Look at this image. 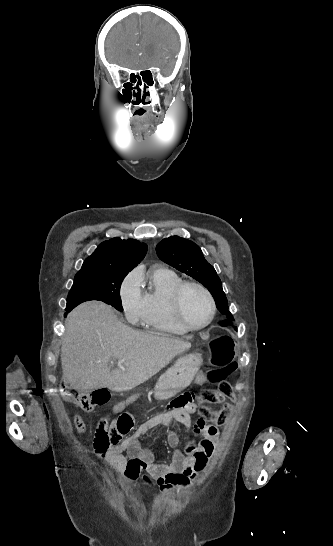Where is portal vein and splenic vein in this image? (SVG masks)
I'll use <instances>...</instances> for the list:
<instances>
[{
  "label": "portal vein and splenic vein",
  "instance_id": "1",
  "mask_svg": "<svg viewBox=\"0 0 333 546\" xmlns=\"http://www.w3.org/2000/svg\"><path fill=\"white\" fill-rule=\"evenodd\" d=\"M118 365L121 366V362H120V361H118Z\"/></svg>",
  "mask_w": 333,
  "mask_h": 546
}]
</instances>
